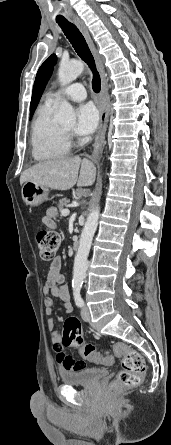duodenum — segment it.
I'll return each instance as SVG.
<instances>
[{
    "instance_id": "410a0bca",
    "label": "duodenum",
    "mask_w": 171,
    "mask_h": 445,
    "mask_svg": "<svg viewBox=\"0 0 171 445\" xmlns=\"http://www.w3.org/2000/svg\"><path fill=\"white\" fill-rule=\"evenodd\" d=\"M73 247H74V249H79V247H80V240L79 239H75L74 241H73Z\"/></svg>"
}]
</instances>
